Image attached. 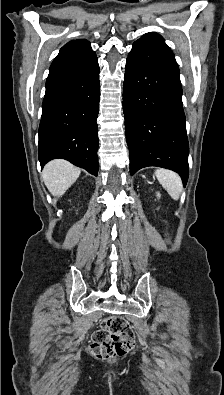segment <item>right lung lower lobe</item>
Segmentation results:
<instances>
[{"label":"right lung lower lobe","instance_id":"right-lung-lower-lobe-1","mask_svg":"<svg viewBox=\"0 0 224 395\" xmlns=\"http://www.w3.org/2000/svg\"><path fill=\"white\" fill-rule=\"evenodd\" d=\"M99 66L77 40L64 45L50 66L39 126V161L63 158L98 174Z\"/></svg>","mask_w":224,"mask_h":395}]
</instances>
